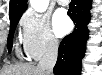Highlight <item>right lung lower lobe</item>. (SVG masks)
I'll list each match as a JSON object with an SVG mask.
<instances>
[{
    "instance_id": "98d812e1",
    "label": "right lung lower lobe",
    "mask_w": 102,
    "mask_h": 75,
    "mask_svg": "<svg viewBox=\"0 0 102 75\" xmlns=\"http://www.w3.org/2000/svg\"><path fill=\"white\" fill-rule=\"evenodd\" d=\"M90 8L91 0H71L68 15L75 23V29L59 46L57 63L53 69L55 75H80L81 59L88 38Z\"/></svg>"
}]
</instances>
